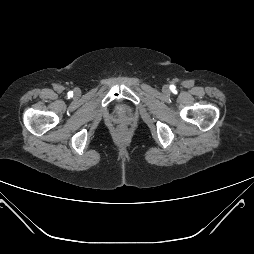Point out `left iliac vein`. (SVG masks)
<instances>
[{"label": "left iliac vein", "mask_w": 254, "mask_h": 254, "mask_svg": "<svg viewBox=\"0 0 254 254\" xmlns=\"http://www.w3.org/2000/svg\"><path fill=\"white\" fill-rule=\"evenodd\" d=\"M163 91H164V92H168V91H169V87H168V86H164V87H163Z\"/></svg>", "instance_id": "obj_1"}]
</instances>
